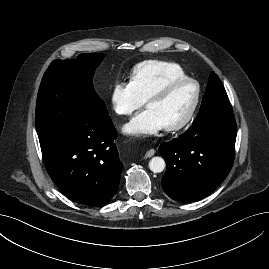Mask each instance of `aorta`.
<instances>
[{"mask_svg": "<svg viewBox=\"0 0 269 269\" xmlns=\"http://www.w3.org/2000/svg\"><path fill=\"white\" fill-rule=\"evenodd\" d=\"M165 166L166 164L164 159L158 156L153 157L149 161V168L154 173H161L165 169Z\"/></svg>", "mask_w": 269, "mask_h": 269, "instance_id": "1", "label": "aorta"}]
</instances>
